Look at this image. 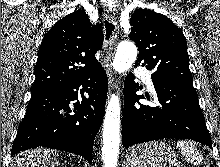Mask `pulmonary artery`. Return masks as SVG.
I'll return each mask as SVG.
<instances>
[{
	"instance_id": "pulmonary-artery-1",
	"label": "pulmonary artery",
	"mask_w": 220,
	"mask_h": 167,
	"mask_svg": "<svg viewBox=\"0 0 220 167\" xmlns=\"http://www.w3.org/2000/svg\"><path fill=\"white\" fill-rule=\"evenodd\" d=\"M135 74L142 78L146 87L150 91L154 92V84H153V81L147 71H145L143 68L138 67L135 69Z\"/></svg>"
}]
</instances>
